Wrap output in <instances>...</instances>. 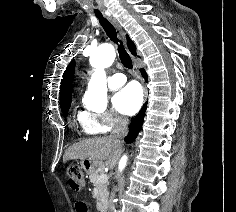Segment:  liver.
Instances as JSON below:
<instances>
[{
	"label": "liver",
	"mask_w": 236,
	"mask_h": 212,
	"mask_svg": "<svg viewBox=\"0 0 236 212\" xmlns=\"http://www.w3.org/2000/svg\"><path fill=\"white\" fill-rule=\"evenodd\" d=\"M122 143L118 139L108 137L90 138L70 146L64 153L63 162L73 159H91L98 165L106 160L105 165L113 168L121 154Z\"/></svg>",
	"instance_id": "1"
}]
</instances>
